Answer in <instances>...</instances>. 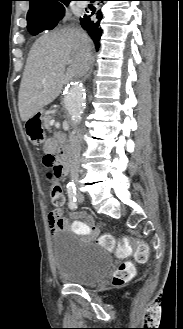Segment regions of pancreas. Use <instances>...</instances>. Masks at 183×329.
I'll list each match as a JSON object with an SVG mask.
<instances>
[{"label": "pancreas", "mask_w": 183, "mask_h": 329, "mask_svg": "<svg viewBox=\"0 0 183 329\" xmlns=\"http://www.w3.org/2000/svg\"><path fill=\"white\" fill-rule=\"evenodd\" d=\"M52 119V116H46L43 118V125L47 130H50V120Z\"/></svg>", "instance_id": "pancreas-1"}]
</instances>
